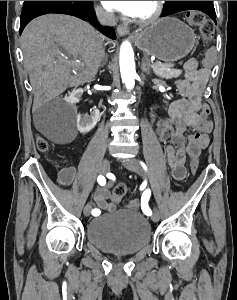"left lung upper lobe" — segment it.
Here are the masks:
<instances>
[{
  "label": "left lung upper lobe",
  "mask_w": 237,
  "mask_h": 300,
  "mask_svg": "<svg viewBox=\"0 0 237 300\" xmlns=\"http://www.w3.org/2000/svg\"><path fill=\"white\" fill-rule=\"evenodd\" d=\"M192 2H198V1H165V13H167V15L171 14L169 10L175 5L192 3Z\"/></svg>",
  "instance_id": "5c2ea615"
}]
</instances>
